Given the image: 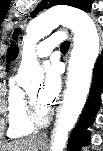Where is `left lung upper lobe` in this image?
Masks as SVG:
<instances>
[{"label": "left lung upper lobe", "instance_id": "obj_1", "mask_svg": "<svg viewBox=\"0 0 103 151\" xmlns=\"http://www.w3.org/2000/svg\"><path fill=\"white\" fill-rule=\"evenodd\" d=\"M58 4L69 5L82 9L84 11L91 12L92 1L91 0H43L38 5V7L31 13L30 16L33 17L37 15L39 11Z\"/></svg>", "mask_w": 103, "mask_h": 151}]
</instances>
